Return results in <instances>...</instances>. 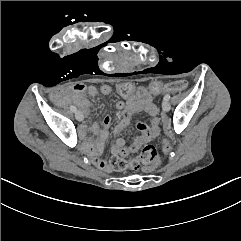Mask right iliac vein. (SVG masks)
Listing matches in <instances>:
<instances>
[{
  "mask_svg": "<svg viewBox=\"0 0 241 241\" xmlns=\"http://www.w3.org/2000/svg\"><path fill=\"white\" fill-rule=\"evenodd\" d=\"M75 118H76L78 121H82L83 118H84L83 113H82L80 110L76 111V112H75Z\"/></svg>",
  "mask_w": 241,
  "mask_h": 241,
  "instance_id": "right-iliac-vein-1",
  "label": "right iliac vein"
}]
</instances>
